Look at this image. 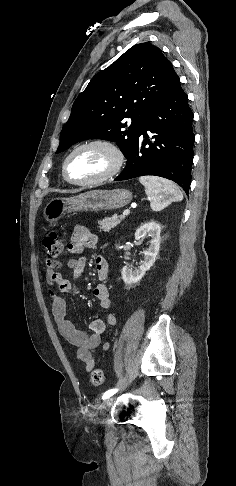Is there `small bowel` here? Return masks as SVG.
<instances>
[{
  "label": "small bowel",
  "mask_w": 236,
  "mask_h": 486,
  "mask_svg": "<svg viewBox=\"0 0 236 486\" xmlns=\"http://www.w3.org/2000/svg\"><path fill=\"white\" fill-rule=\"evenodd\" d=\"M98 243V236L88 227L77 225L72 233L68 250L72 255H78L86 248H94ZM63 266L60 260H49L46 263L45 281L48 285L51 297V310L60 334L72 345L77 348V358L83 363L87 371H91L95 366L93 350L101 344V335L106 331L107 326L116 324V316L108 313L105 320H95L89 326V331L79 330L66 318L67 302L65 295H75L77 288L74 284L65 279L58 269ZM67 266L72 271L73 279L77 280L85 270L86 259L84 257H71L67 260ZM95 268L100 283L94 288L93 295L103 309L111 306L110 295L107 286L104 284L108 275V262L103 256L95 258ZM56 287L59 294L53 291ZM109 343L103 344V349L107 350Z\"/></svg>",
  "instance_id": "small-bowel-1"
}]
</instances>
